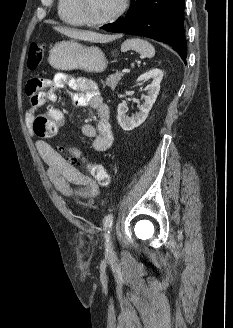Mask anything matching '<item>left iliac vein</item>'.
<instances>
[{"label": "left iliac vein", "instance_id": "4c4485c4", "mask_svg": "<svg viewBox=\"0 0 233 328\" xmlns=\"http://www.w3.org/2000/svg\"><path fill=\"white\" fill-rule=\"evenodd\" d=\"M105 247H106V249H107V253H108V254H111L112 251H113V241H112L111 236H109V237L107 238V242H106Z\"/></svg>", "mask_w": 233, "mask_h": 328}]
</instances>
